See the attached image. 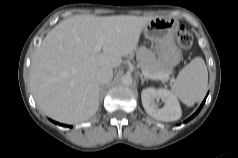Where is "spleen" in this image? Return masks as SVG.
Masks as SVG:
<instances>
[{
  "mask_svg": "<svg viewBox=\"0 0 238 158\" xmlns=\"http://www.w3.org/2000/svg\"><path fill=\"white\" fill-rule=\"evenodd\" d=\"M208 84V71L201 57L194 58L178 74L171 93L187 106L203 99Z\"/></svg>",
  "mask_w": 238,
  "mask_h": 158,
  "instance_id": "3e777b00",
  "label": "spleen"
}]
</instances>
